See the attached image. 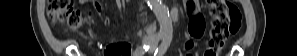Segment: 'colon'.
<instances>
[{
  "label": "colon",
  "instance_id": "colon-1",
  "mask_svg": "<svg viewBox=\"0 0 297 56\" xmlns=\"http://www.w3.org/2000/svg\"><path fill=\"white\" fill-rule=\"evenodd\" d=\"M71 0H49L47 13L54 22L64 23L72 29L79 27L85 20L92 18L91 13L84 17L75 9ZM212 17V29L204 56H217L230 35L236 34L241 27V13L238 7L227 0H207ZM100 11V6L95 4Z\"/></svg>",
  "mask_w": 297,
  "mask_h": 56
}]
</instances>
